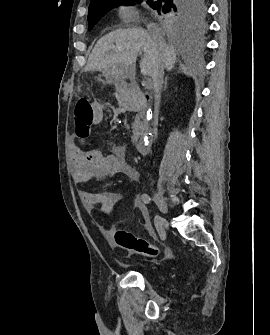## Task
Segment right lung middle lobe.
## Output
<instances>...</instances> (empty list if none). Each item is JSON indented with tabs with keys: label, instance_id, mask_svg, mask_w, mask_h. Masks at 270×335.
<instances>
[{
	"label": "right lung middle lobe",
	"instance_id": "1",
	"mask_svg": "<svg viewBox=\"0 0 270 335\" xmlns=\"http://www.w3.org/2000/svg\"><path fill=\"white\" fill-rule=\"evenodd\" d=\"M148 0L147 4L158 11L164 22L177 29L192 30L202 26L206 9V0ZM134 0H120L114 3L89 7V30L111 9L122 4H133ZM141 3V1H138ZM162 11V13H161Z\"/></svg>",
	"mask_w": 270,
	"mask_h": 335
}]
</instances>
